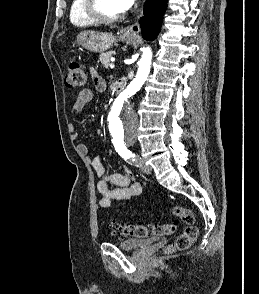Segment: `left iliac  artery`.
<instances>
[{
	"label": "left iliac artery",
	"instance_id": "left-iliac-artery-1",
	"mask_svg": "<svg viewBox=\"0 0 259 294\" xmlns=\"http://www.w3.org/2000/svg\"><path fill=\"white\" fill-rule=\"evenodd\" d=\"M114 147L116 149V151L118 152V154L125 160H130L132 162H138V157L132 153L130 150L127 149V147L119 142H113Z\"/></svg>",
	"mask_w": 259,
	"mask_h": 294
}]
</instances>
